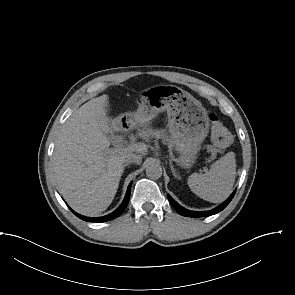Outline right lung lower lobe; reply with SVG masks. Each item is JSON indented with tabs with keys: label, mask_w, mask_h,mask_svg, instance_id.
<instances>
[{
	"label": "right lung lower lobe",
	"mask_w": 295,
	"mask_h": 295,
	"mask_svg": "<svg viewBox=\"0 0 295 295\" xmlns=\"http://www.w3.org/2000/svg\"><path fill=\"white\" fill-rule=\"evenodd\" d=\"M131 184H129L127 192H126V196L124 198V201L122 202V204L111 214L103 216V217H98V218H89V217H85V216H81L79 214H77L76 212L72 211L77 217H79L80 219L84 220V221H89V222H105V221H109L112 220L116 217H118L119 215L122 214V212L125 210V208L128 205L129 202V198H130V190H131Z\"/></svg>",
	"instance_id": "98d812e1"
}]
</instances>
